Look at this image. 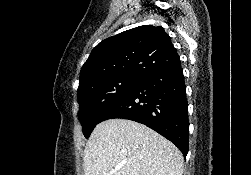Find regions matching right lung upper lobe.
I'll list each match as a JSON object with an SVG mask.
<instances>
[{
  "label": "right lung upper lobe",
  "instance_id": "1",
  "mask_svg": "<svg viewBox=\"0 0 251 175\" xmlns=\"http://www.w3.org/2000/svg\"><path fill=\"white\" fill-rule=\"evenodd\" d=\"M180 63L171 38L161 26H139L101 41L80 72V87L116 77L144 78Z\"/></svg>",
  "mask_w": 251,
  "mask_h": 175
}]
</instances>
